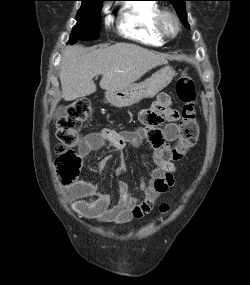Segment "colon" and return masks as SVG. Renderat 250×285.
<instances>
[{"instance_id":"colon-1","label":"colon","mask_w":250,"mask_h":285,"mask_svg":"<svg viewBox=\"0 0 250 285\" xmlns=\"http://www.w3.org/2000/svg\"><path fill=\"white\" fill-rule=\"evenodd\" d=\"M176 95L182 102L180 120V135L178 142L172 148L163 146L157 150V155L166 160L182 157L197 141L199 125L196 120L195 99L196 91L193 79L183 73L176 82ZM92 113V107L88 100L79 99L71 104L64 116L57 122L56 136L59 141L55 158V167L61 181L73 184L77 181L82 168V157L74 149L80 142V130L84 121ZM162 214L170 211L168 203H162L159 207Z\"/></svg>"}]
</instances>
